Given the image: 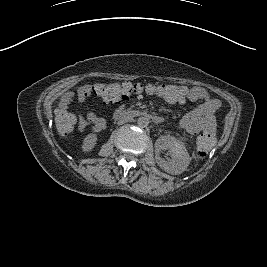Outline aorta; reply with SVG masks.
<instances>
[{"label": "aorta", "instance_id": "762f6f07", "mask_svg": "<svg viewBox=\"0 0 267 267\" xmlns=\"http://www.w3.org/2000/svg\"><path fill=\"white\" fill-rule=\"evenodd\" d=\"M137 125L140 128H145L149 125V119L147 117H139L137 120Z\"/></svg>", "mask_w": 267, "mask_h": 267}]
</instances>
